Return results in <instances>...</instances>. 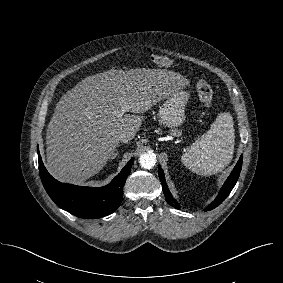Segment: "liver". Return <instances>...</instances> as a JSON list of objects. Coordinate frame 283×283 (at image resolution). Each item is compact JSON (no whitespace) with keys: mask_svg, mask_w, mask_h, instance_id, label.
<instances>
[{"mask_svg":"<svg viewBox=\"0 0 283 283\" xmlns=\"http://www.w3.org/2000/svg\"><path fill=\"white\" fill-rule=\"evenodd\" d=\"M182 75L161 69H111L88 76L57 103L46 133V168L57 180L82 184L111 157L116 135L132 140L143 117H117L122 106L145 113L187 85Z\"/></svg>","mask_w":283,"mask_h":283,"instance_id":"liver-1","label":"liver"}]
</instances>
